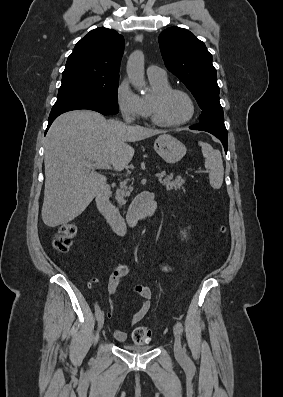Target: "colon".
<instances>
[{
    "label": "colon",
    "instance_id": "1",
    "mask_svg": "<svg viewBox=\"0 0 283 397\" xmlns=\"http://www.w3.org/2000/svg\"><path fill=\"white\" fill-rule=\"evenodd\" d=\"M77 234V226L73 222L63 224L53 238V248L59 253L69 251L73 239ZM153 338V332L147 327H137L132 334V340L136 345H146Z\"/></svg>",
    "mask_w": 283,
    "mask_h": 397
}]
</instances>
